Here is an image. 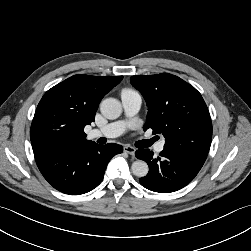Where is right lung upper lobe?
<instances>
[{
	"label": "right lung upper lobe",
	"instance_id": "1",
	"mask_svg": "<svg viewBox=\"0 0 251 251\" xmlns=\"http://www.w3.org/2000/svg\"><path fill=\"white\" fill-rule=\"evenodd\" d=\"M122 79L78 74L49 89L31 125L34 153L92 142L86 140L84 127L95 120L100 101Z\"/></svg>",
	"mask_w": 251,
	"mask_h": 251
}]
</instances>
